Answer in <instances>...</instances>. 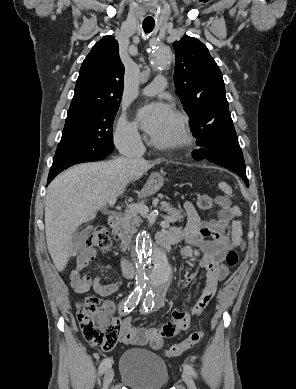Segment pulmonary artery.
Listing matches in <instances>:
<instances>
[{"instance_id": "1", "label": "pulmonary artery", "mask_w": 296, "mask_h": 389, "mask_svg": "<svg viewBox=\"0 0 296 389\" xmlns=\"http://www.w3.org/2000/svg\"><path fill=\"white\" fill-rule=\"evenodd\" d=\"M166 79L163 76H157L150 84L143 88L142 93L146 96H153L164 90Z\"/></svg>"}]
</instances>
